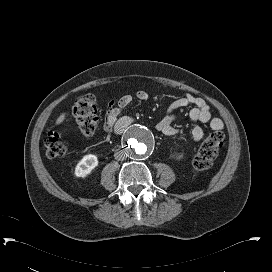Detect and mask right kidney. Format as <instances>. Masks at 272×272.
Wrapping results in <instances>:
<instances>
[{
	"mask_svg": "<svg viewBox=\"0 0 272 272\" xmlns=\"http://www.w3.org/2000/svg\"><path fill=\"white\" fill-rule=\"evenodd\" d=\"M98 166V158L96 155L88 154L83 156V158L78 161L74 174L76 177H86Z\"/></svg>",
	"mask_w": 272,
	"mask_h": 272,
	"instance_id": "ca27d5eb",
	"label": "right kidney"
}]
</instances>
